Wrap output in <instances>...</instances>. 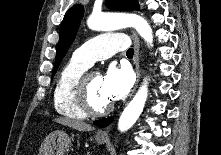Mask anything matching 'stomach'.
<instances>
[{
  "mask_svg": "<svg viewBox=\"0 0 221 155\" xmlns=\"http://www.w3.org/2000/svg\"><path fill=\"white\" fill-rule=\"evenodd\" d=\"M98 144H103L107 138L96 136ZM71 146V138L62 130L50 133L42 142L38 155H64L66 150Z\"/></svg>",
  "mask_w": 221,
  "mask_h": 155,
  "instance_id": "1",
  "label": "stomach"
}]
</instances>
